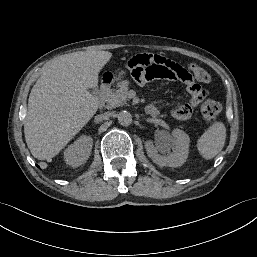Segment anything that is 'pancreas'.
I'll list each match as a JSON object with an SVG mask.
<instances>
[{
	"label": "pancreas",
	"instance_id": "pancreas-1",
	"mask_svg": "<svg viewBox=\"0 0 257 257\" xmlns=\"http://www.w3.org/2000/svg\"><path fill=\"white\" fill-rule=\"evenodd\" d=\"M119 88L116 91H109L105 98L106 108L113 109L119 106H123L128 101V90H129V82L122 81L119 83Z\"/></svg>",
	"mask_w": 257,
	"mask_h": 257
}]
</instances>
